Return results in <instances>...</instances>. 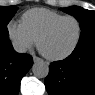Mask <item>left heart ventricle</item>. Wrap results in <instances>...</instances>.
<instances>
[{"label":"left heart ventricle","mask_w":95,"mask_h":95,"mask_svg":"<svg viewBox=\"0 0 95 95\" xmlns=\"http://www.w3.org/2000/svg\"><path fill=\"white\" fill-rule=\"evenodd\" d=\"M78 24L73 19L61 22L41 43L43 51L51 56L67 52L78 37Z\"/></svg>","instance_id":"1"}]
</instances>
